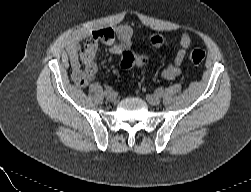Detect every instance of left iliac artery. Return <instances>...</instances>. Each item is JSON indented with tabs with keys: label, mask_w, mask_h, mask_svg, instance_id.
Segmentation results:
<instances>
[{
	"label": "left iliac artery",
	"mask_w": 251,
	"mask_h": 192,
	"mask_svg": "<svg viewBox=\"0 0 251 192\" xmlns=\"http://www.w3.org/2000/svg\"><path fill=\"white\" fill-rule=\"evenodd\" d=\"M156 94L161 97L163 95V90L162 89H157Z\"/></svg>",
	"instance_id": "44dca946"
}]
</instances>
